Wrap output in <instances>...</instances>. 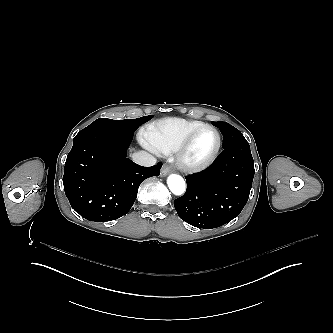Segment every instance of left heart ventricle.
<instances>
[{
	"mask_svg": "<svg viewBox=\"0 0 333 333\" xmlns=\"http://www.w3.org/2000/svg\"><path fill=\"white\" fill-rule=\"evenodd\" d=\"M217 145V136L210 128H205L197 133L187 150L186 157L191 162H202L208 159Z\"/></svg>",
	"mask_w": 333,
	"mask_h": 333,
	"instance_id": "left-heart-ventricle-1",
	"label": "left heart ventricle"
}]
</instances>
